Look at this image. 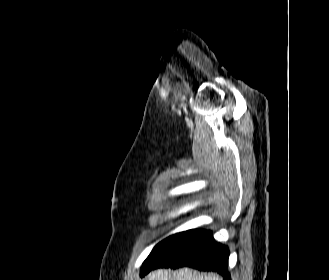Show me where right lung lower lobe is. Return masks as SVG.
I'll list each match as a JSON object with an SVG mask.
<instances>
[{"label":"right lung lower lobe","instance_id":"right-lung-lower-lobe-1","mask_svg":"<svg viewBox=\"0 0 329 280\" xmlns=\"http://www.w3.org/2000/svg\"><path fill=\"white\" fill-rule=\"evenodd\" d=\"M228 257V248L215 242L211 232L192 229L182 232L146 273L160 267L175 269L189 266L204 271H217L224 276V280H231Z\"/></svg>","mask_w":329,"mask_h":280}]
</instances>
